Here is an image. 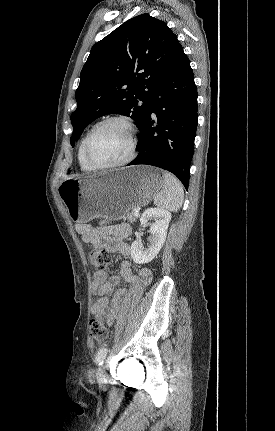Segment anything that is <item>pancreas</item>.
<instances>
[{
    "label": "pancreas",
    "mask_w": 275,
    "mask_h": 431,
    "mask_svg": "<svg viewBox=\"0 0 275 431\" xmlns=\"http://www.w3.org/2000/svg\"><path fill=\"white\" fill-rule=\"evenodd\" d=\"M136 219H137V216H135L133 213H127L125 216H124V220H127L128 222H130V223H132V222H135L136 221Z\"/></svg>",
    "instance_id": "1"
}]
</instances>
